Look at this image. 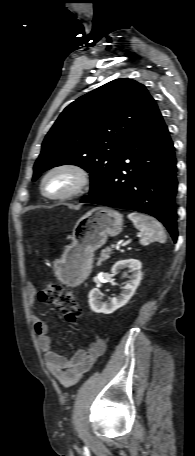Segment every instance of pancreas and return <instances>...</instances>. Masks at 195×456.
<instances>
[{"label":"pancreas","mask_w":195,"mask_h":456,"mask_svg":"<svg viewBox=\"0 0 195 456\" xmlns=\"http://www.w3.org/2000/svg\"><path fill=\"white\" fill-rule=\"evenodd\" d=\"M111 254H112L111 248L106 247L105 249H103L100 253V257L98 258L97 266H100L102 264V262L109 259Z\"/></svg>","instance_id":"1"}]
</instances>
